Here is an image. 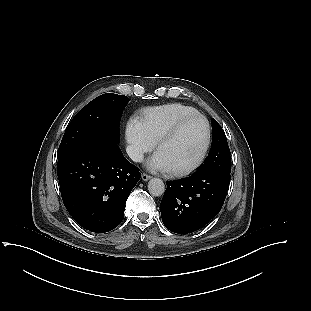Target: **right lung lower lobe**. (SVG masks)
<instances>
[{
	"mask_svg": "<svg viewBox=\"0 0 311 311\" xmlns=\"http://www.w3.org/2000/svg\"><path fill=\"white\" fill-rule=\"evenodd\" d=\"M64 205L83 228L111 231L124 218L125 203L140 179L139 169L113 142H90L58 159Z\"/></svg>",
	"mask_w": 311,
	"mask_h": 311,
	"instance_id": "1",
	"label": "right lung lower lobe"
}]
</instances>
